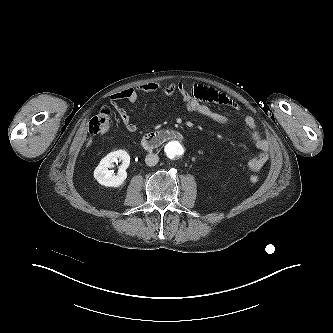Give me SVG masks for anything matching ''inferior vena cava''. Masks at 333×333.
Instances as JSON below:
<instances>
[{
	"instance_id": "obj_1",
	"label": "inferior vena cava",
	"mask_w": 333,
	"mask_h": 333,
	"mask_svg": "<svg viewBox=\"0 0 333 333\" xmlns=\"http://www.w3.org/2000/svg\"><path fill=\"white\" fill-rule=\"evenodd\" d=\"M158 161H159V157L157 154L150 153V154L146 155L145 163L148 166H155L158 163Z\"/></svg>"
}]
</instances>
